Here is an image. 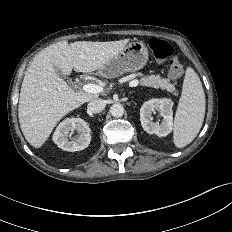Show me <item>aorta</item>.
<instances>
[{
    "label": "aorta",
    "instance_id": "obj_1",
    "mask_svg": "<svg viewBox=\"0 0 232 232\" xmlns=\"http://www.w3.org/2000/svg\"><path fill=\"white\" fill-rule=\"evenodd\" d=\"M110 113L113 117H122L124 114V106L120 103H115L110 107Z\"/></svg>",
    "mask_w": 232,
    "mask_h": 232
}]
</instances>
